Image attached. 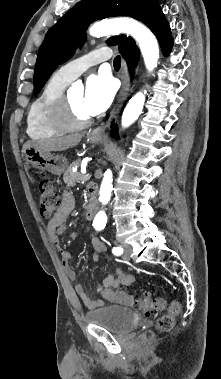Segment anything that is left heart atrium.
Listing matches in <instances>:
<instances>
[{
    "label": "left heart atrium",
    "mask_w": 221,
    "mask_h": 379,
    "mask_svg": "<svg viewBox=\"0 0 221 379\" xmlns=\"http://www.w3.org/2000/svg\"><path fill=\"white\" fill-rule=\"evenodd\" d=\"M115 92V84L107 75L89 76L83 95V109L89 116L104 112L112 103Z\"/></svg>",
    "instance_id": "left-heart-atrium-1"
}]
</instances>
